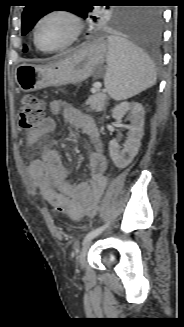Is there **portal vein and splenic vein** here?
Returning a JSON list of instances; mask_svg holds the SVG:
<instances>
[{
    "label": "portal vein and splenic vein",
    "mask_w": 184,
    "mask_h": 327,
    "mask_svg": "<svg viewBox=\"0 0 184 327\" xmlns=\"http://www.w3.org/2000/svg\"><path fill=\"white\" fill-rule=\"evenodd\" d=\"M101 88V83L97 82L93 85L92 92L99 90Z\"/></svg>",
    "instance_id": "1"
}]
</instances>
